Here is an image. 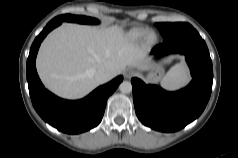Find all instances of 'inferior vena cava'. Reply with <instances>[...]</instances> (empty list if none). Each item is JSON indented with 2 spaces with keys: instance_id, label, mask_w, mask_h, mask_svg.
Returning a JSON list of instances; mask_svg holds the SVG:
<instances>
[{
  "instance_id": "obj_1",
  "label": "inferior vena cava",
  "mask_w": 238,
  "mask_h": 158,
  "mask_svg": "<svg viewBox=\"0 0 238 158\" xmlns=\"http://www.w3.org/2000/svg\"><path fill=\"white\" fill-rule=\"evenodd\" d=\"M94 77L99 84H103L110 80V72L106 68H100L94 71Z\"/></svg>"
}]
</instances>
